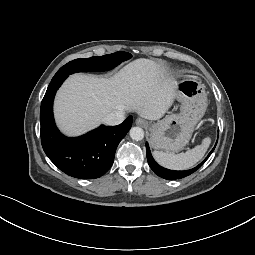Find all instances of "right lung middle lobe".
<instances>
[{"label": "right lung middle lobe", "mask_w": 255, "mask_h": 255, "mask_svg": "<svg viewBox=\"0 0 255 255\" xmlns=\"http://www.w3.org/2000/svg\"><path fill=\"white\" fill-rule=\"evenodd\" d=\"M131 58L127 52H116L101 57H91L86 59H75L61 67L55 77L70 75L75 72L106 71L119 65L121 62Z\"/></svg>", "instance_id": "1"}]
</instances>
